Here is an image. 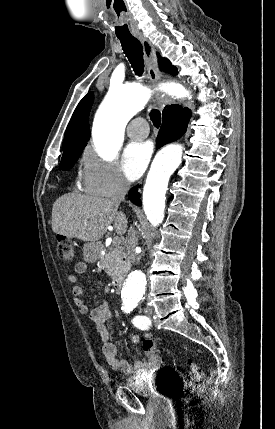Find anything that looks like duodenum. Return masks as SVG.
<instances>
[{"label":"duodenum","mask_w":275,"mask_h":429,"mask_svg":"<svg viewBox=\"0 0 275 429\" xmlns=\"http://www.w3.org/2000/svg\"><path fill=\"white\" fill-rule=\"evenodd\" d=\"M123 279L121 277H118L113 280L112 287L116 293H119L122 288Z\"/></svg>","instance_id":"duodenum-1"}]
</instances>
